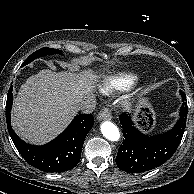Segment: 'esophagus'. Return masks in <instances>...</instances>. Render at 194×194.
I'll return each instance as SVG.
<instances>
[{
	"label": "esophagus",
	"instance_id": "1",
	"mask_svg": "<svg viewBox=\"0 0 194 194\" xmlns=\"http://www.w3.org/2000/svg\"><path fill=\"white\" fill-rule=\"evenodd\" d=\"M98 120H110L112 118L109 108H103L98 114Z\"/></svg>",
	"mask_w": 194,
	"mask_h": 194
}]
</instances>
